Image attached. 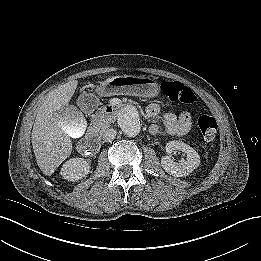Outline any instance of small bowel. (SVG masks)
Returning a JSON list of instances; mask_svg holds the SVG:
<instances>
[{
	"mask_svg": "<svg viewBox=\"0 0 261 261\" xmlns=\"http://www.w3.org/2000/svg\"><path fill=\"white\" fill-rule=\"evenodd\" d=\"M147 113L151 117L161 118L166 132L170 136L180 137L187 134L191 128V115L188 111H182L178 115L161 110L158 104H151L147 108ZM150 132L154 135L160 132L157 124L150 126Z\"/></svg>",
	"mask_w": 261,
	"mask_h": 261,
	"instance_id": "c3829d8e",
	"label": "small bowel"
}]
</instances>
